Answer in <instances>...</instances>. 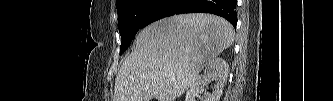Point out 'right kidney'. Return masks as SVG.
Segmentation results:
<instances>
[{
	"mask_svg": "<svg viewBox=\"0 0 333 101\" xmlns=\"http://www.w3.org/2000/svg\"><path fill=\"white\" fill-rule=\"evenodd\" d=\"M229 72L228 63L218 57L213 59L205 68L203 76H197L186 93L185 101H195V97L211 81H214L212 93L205 94V101H219Z\"/></svg>",
	"mask_w": 333,
	"mask_h": 101,
	"instance_id": "1",
	"label": "right kidney"
}]
</instances>
